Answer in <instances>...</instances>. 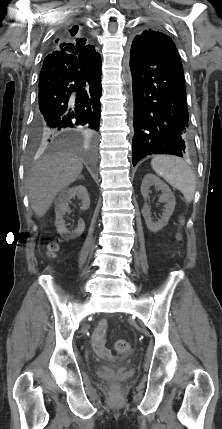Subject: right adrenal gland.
Returning a JSON list of instances; mask_svg holds the SVG:
<instances>
[{
  "mask_svg": "<svg viewBox=\"0 0 222 429\" xmlns=\"http://www.w3.org/2000/svg\"><path fill=\"white\" fill-rule=\"evenodd\" d=\"M80 178H82V179L84 180V177H83V176H81Z\"/></svg>",
  "mask_w": 222,
  "mask_h": 429,
  "instance_id": "2a0ac1e0",
  "label": "right adrenal gland"
}]
</instances>
